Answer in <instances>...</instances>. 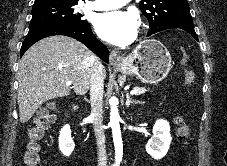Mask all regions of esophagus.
I'll return each mask as SVG.
<instances>
[{"instance_id": "34e87169", "label": "esophagus", "mask_w": 227, "mask_h": 166, "mask_svg": "<svg viewBox=\"0 0 227 166\" xmlns=\"http://www.w3.org/2000/svg\"><path fill=\"white\" fill-rule=\"evenodd\" d=\"M110 62L111 64H118L121 62V57L119 55V52L117 50H112L110 53Z\"/></svg>"}]
</instances>
